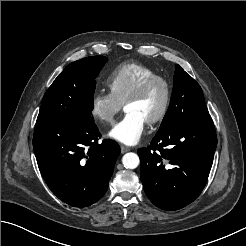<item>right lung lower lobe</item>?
I'll use <instances>...</instances> for the list:
<instances>
[{"instance_id": "obj_1", "label": "right lung lower lobe", "mask_w": 246, "mask_h": 246, "mask_svg": "<svg viewBox=\"0 0 246 246\" xmlns=\"http://www.w3.org/2000/svg\"><path fill=\"white\" fill-rule=\"evenodd\" d=\"M93 123H36L33 148L41 174L50 190L63 202L87 207L107 191L120 154L112 140L98 143Z\"/></svg>"}]
</instances>
